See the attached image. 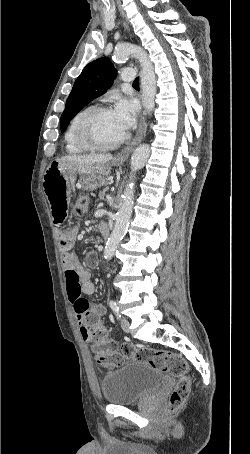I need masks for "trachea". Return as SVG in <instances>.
<instances>
[{
    "label": "trachea",
    "instance_id": "1",
    "mask_svg": "<svg viewBox=\"0 0 250 454\" xmlns=\"http://www.w3.org/2000/svg\"><path fill=\"white\" fill-rule=\"evenodd\" d=\"M133 86H139V77L134 80Z\"/></svg>",
    "mask_w": 250,
    "mask_h": 454
}]
</instances>
